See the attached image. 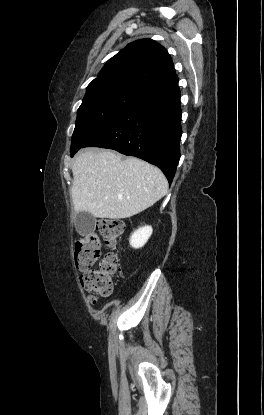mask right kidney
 <instances>
[{
  "label": "right kidney",
  "mask_w": 264,
  "mask_h": 415,
  "mask_svg": "<svg viewBox=\"0 0 264 415\" xmlns=\"http://www.w3.org/2000/svg\"><path fill=\"white\" fill-rule=\"evenodd\" d=\"M152 231L151 226H144L137 229L130 237V245L135 249L143 247L150 238Z\"/></svg>",
  "instance_id": "obj_1"
}]
</instances>
